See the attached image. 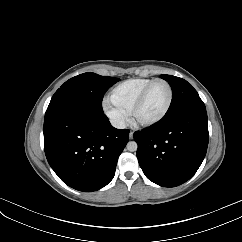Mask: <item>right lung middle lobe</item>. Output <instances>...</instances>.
Returning <instances> with one entry per match:
<instances>
[{
    "label": "right lung middle lobe",
    "mask_w": 242,
    "mask_h": 242,
    "mask_svg": "<svg viewBox=\"0 0 242 242\" xmlns=\"http://www.w3.org/2000/svg\"><path fill=\"white\" fill-rule=\"evenodd\" d=\"M119 78L87 72L65 82L53 95L45 115L67 108H86L103 112L102 99L106 90Z\"/></svg>",
    "instance_id": "right-lung-middle-lobe-1"
}]
</instances>
